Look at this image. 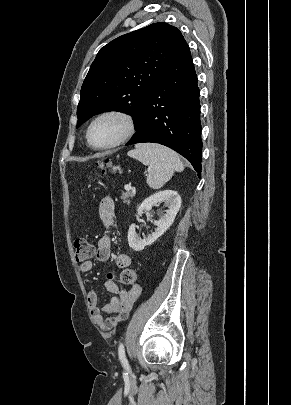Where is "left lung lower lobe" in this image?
Returning a JSON list of instances; mask_svg holds the SVG:
<instances>
[{
    "instance_id": "obj_1",
    "label": "left lung lower lobe",
    "mask_w": 291,
    "mask_h": 405,
    "mask_svg": "<svg viewBox=\"0 0 291 405\" xmlns=\"http://www.w3.org/2000/svg\"><path fill=\"white\" fill-rule=\"evenodd\" d=\"M197 75L187 43L161 73L145 98L137 132L126 144L165 145L190 161L201 175V124Z\"/></svg>"
}]
</instances>
